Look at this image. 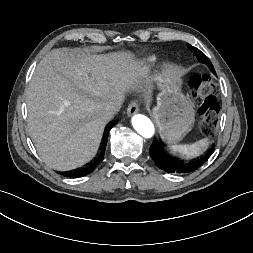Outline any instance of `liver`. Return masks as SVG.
I'll return each instance as SVG.
<instances>
[{"label":"liver","mask_w":253,"mask_h":253,"mask_svg":"<svg viewBox=\"0 0 253 253\" xmlns=\"http://www.w3.org/2000/svg\"><path fill=\"white\" fill-rule=\"evenodd\" d=\"M139 74L134 56L58 48L38 63L26 91L29 135L43 162L66 171L96 154L105 105L124 99Z\"/></svg>","instance_id":"6515ba94"}]
</instances>
